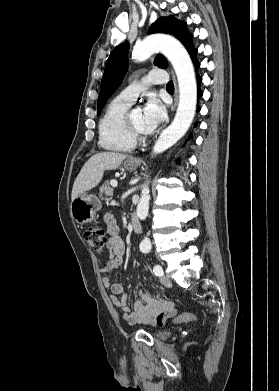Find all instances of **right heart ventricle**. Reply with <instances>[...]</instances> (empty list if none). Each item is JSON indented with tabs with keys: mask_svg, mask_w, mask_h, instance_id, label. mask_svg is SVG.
Returning <instances> with one entry per match:
<instances>
[{
	"mask_svg": "<svg viewBox=\"0 0 279 391\" xmlns=\"http://www.w3.org/2000/svg\"><path fill=\"white\" fill-rule=\"evenodd\" d=\"M131 104L117 96L107 105L99 122V144L103 149L126 152L135 147L125 125V115Z\"/></svg>",
	"mask_w": 279,
	"mask_h": 391,
	"instance_id": "e07e8e85",
	"label": "right heart ventricle"
}]
</instances>
